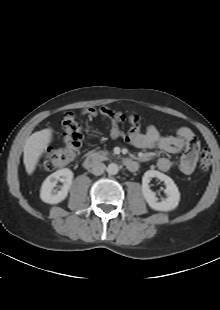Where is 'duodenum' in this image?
Masks as SVG:
<instances>
[{"instance_id": "obj_1", "label": "duodenum", "mask_w": 220, "mask_h": 310, "mask_svg": "<svg viewBox=\"0 0 220 310\" xmlns=\"http://www.w3.org/2000/svg\"><path fill=\"white\" fill-rule=\"evenodd\" d=\"M106 159L107 155L104 153H92L84 157L82 164L85 168L91 169ZM124 165L130 172H135L138 169V163L130 158L124 159Z\"/></svg>"}]
</instances>
